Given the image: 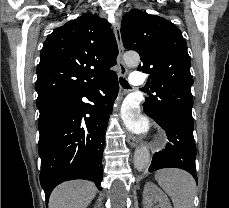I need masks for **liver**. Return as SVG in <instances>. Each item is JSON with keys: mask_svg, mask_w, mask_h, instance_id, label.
I'll use <instances>...</instances> for the list:
<instances>
[{"mask_svg": "<svg viewBox=\"0 0 229 208\" xmlns=\"http://www.w3.org/2000/svg\"><path fill=\"white\" fill-rule=\"evenodd\" d=\"M96 192L97 188L93 182H64L53 190L49 198V208H87L95 198Z\"/></svg>", "mask_w": 229, "mask_h": 208, "instance_id": "6515ba94", "label": "liver"}]
</instances>
